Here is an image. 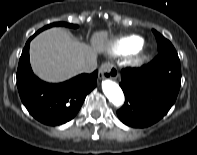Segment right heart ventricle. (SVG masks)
<instances>
[{
    "mask_svg": "<svg viewBox=\"0 0 197 155\" xmlns=\"http://www.w3.org/2000/svg\"><path fill=\"white\" fill-rule=\"evenodd\" d=\"M143 45V39L139 36H126L116 39L110 46V52L114 55H123L138 51Z\"/></svg>",
    "mask_w": 197,
    "mask_h": 155,
    "instance_id": "1",
    "label": "right heart ventricle"
}]
</instances>
